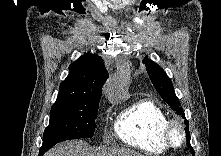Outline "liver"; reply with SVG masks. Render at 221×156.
<instances>
[{
	"mask_svg": "<svg viewBox=\"0 0 221 156\" xmlns=\"http://www.w3.org/2000/svg\"><path fill=\"white\" fill-rule=\"evenodd\" d=\"M45 156H142L140 153L123 147L93 149L83 141H67L49 150Z\"/></svg>",
	"mask_w": 221,
	"mask_h": 156,
	"instance_id": "obj_1",
	"label": "liver"
}]
</instances>
